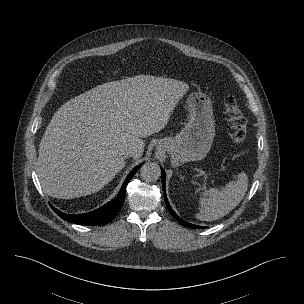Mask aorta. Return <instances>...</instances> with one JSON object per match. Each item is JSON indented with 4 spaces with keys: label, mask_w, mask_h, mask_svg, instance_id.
I'll return each instance as SVG.
<instances>
[{
    "label": "aorta",
    "mask_w": 304,
    "mask_h": 304,
    "mask_svg": "<svg viewBox=\"0 0 304 304\" xmlns=\"http://www.w3.org/2000/svg\"><path fill=\"white\" fill-rule=\"evenodd\" d=\"M140 172L142 179L146 182H154L161 176L160 167L157 163L154 162L145 163L141 167Z\"/></svg>",
    "instance_id": "aorta-1"
}]
</instances>
